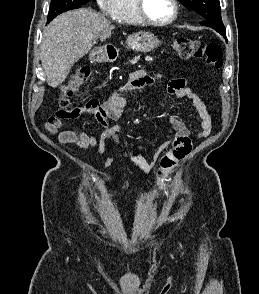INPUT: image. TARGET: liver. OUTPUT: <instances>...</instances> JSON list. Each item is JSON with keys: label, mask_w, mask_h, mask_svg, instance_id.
Returning a JSON list of instances; mask_svg holds the SVG:
<instances>
[{"label": "liver", "mask_w": 259, "mask_h": 294, "mask_svg": "<svg viewBox=\"0 0 259 294\" xmlns=\"http://www.w3.org/2000/svg\"><path fill=\"white\" fill-rule=\"evenodd\" d=\"M115 27L91 9L57 16L43 31L40 59L50 87L65 81L71 67L87 54L98 37L106 39Z\"/></svg>", "instance_id": "obj_1"}]
</instances>
